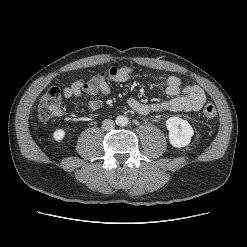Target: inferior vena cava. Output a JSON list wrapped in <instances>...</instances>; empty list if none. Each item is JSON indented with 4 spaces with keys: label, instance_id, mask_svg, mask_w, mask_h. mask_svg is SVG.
I'll use <instances>...</instances> for the list:
<instances>
[{
    "label": "inferior vena cava",
    "instance_id": "obj_1",
    "mask_svg": "<svg viewBox=\"0 0 247 247\" xmlns=\"http://www.w3.org/2000/svg\"><path fill=\"white\" fill-rule=\"evenodd\" d=\"M101 127L105 131H110L115 127V123L111 119H105V120H103Z\"/></svg>",
    "mask_w": 247,
    "mask_h": 247
}]
</instances>
